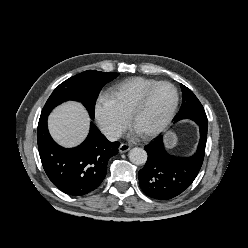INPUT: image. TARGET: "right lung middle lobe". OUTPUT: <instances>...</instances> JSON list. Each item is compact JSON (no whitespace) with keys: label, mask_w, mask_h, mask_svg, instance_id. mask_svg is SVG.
<instances>
[{"label":"right lung middle lobe","mask_w":248,"mask_h":248,"mask_svg":"<svg viewBox=\"0 0 248 248\" xmlns=\"http://www.w3.org/2000/svg\"><path fill=\"white\" fill-rule=\"evenodd\" d=\"M118 75L119 73L88 70L65 80L50 95L40 117L48 116L53 108L65 101L75 100L81 102L90 118L94 119V107L99 92Z\"/></svg>","instance_id":"dd1d6c3e"}]
</instances>
